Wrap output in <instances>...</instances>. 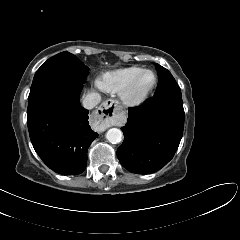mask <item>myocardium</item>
<instances>
[{
	"label": "myocardium",
	"mask_w": 240,
	"mask_h": 240,
	"mask_svg": "<svg viewBox=\"0 0 240 240\" xmlns=\"http://www.w3.org/2000/svg\"><path fill=\"white\" fill-rule=\"evenodd\" d=\"M145 73H152L154 76V82L152 86L140 95L134 94V88L140 77ZM158 83V77L155 71L151 69H144L141 71L134 79L120 92L121 99L123 103L130 107H138L143 105L151 96L153 91L155 90Z\"/></svg>",
	"instance_id": "1"
}]
</instances>
